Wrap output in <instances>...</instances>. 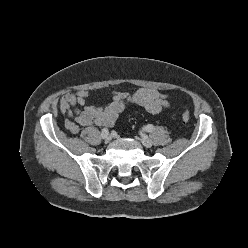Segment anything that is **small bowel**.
<instances>
[{"label": "small bowel", "instance_id": "c3829d8e", "mask_svg": "<svg viewBox=\"0 0 248 248\" xmlns=\"http://www.w3.org/2000/svg\"><path fill=\"white\" fill-rule=\"evenodd\" d=\"M89 96L88 91L78 90L66 93L60 98V112L68 116L65 128L72 134L79 133L83 126L114 125L119 114L129 104L141 106L151 114H160L172 106L169 95L150 88H140L132 93L111 92L110 102L101 107L88 104Z\"/></svg>", "mask_w": 248, "mask_h": 248}]
</instances>
